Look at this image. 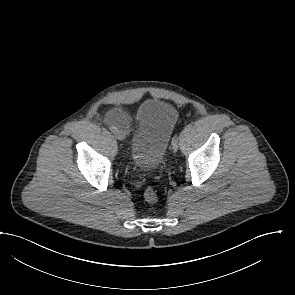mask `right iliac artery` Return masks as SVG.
Returning <instances> with one entry per match:
<instances>
[{
  "mask_svg": "<svg viewBox=\"0 0 295 295\" xmlns=\"http://www.w3.org/2000/svg\"><path fill=\"white\" fill-rule=\"evenodd\" d=\"M110 131L116 132L117 131V128L112 126V127H110Z\"/></svg>",
  "mask_w": 295,
  "mask_h": 295,
  "instance_id": "obj_1",
  "label": "right iliac artery"
}]
</instances>
